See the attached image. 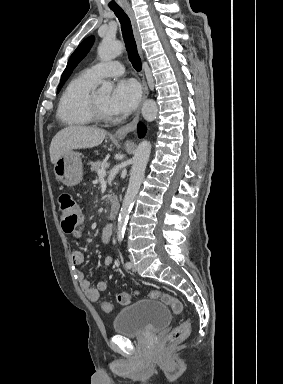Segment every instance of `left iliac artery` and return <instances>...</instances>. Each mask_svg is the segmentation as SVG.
<instances>
[{
    "instance_id": "obj_1",
    "label": "left iliac artery",
    "mask_w": 283,
    "mask_h": 384,
    "mask_svg": "<svg viewBox=\"0 0 283 384\" xmlns=\"http://www.w3.org/2000/svg\"><path fill=\"white\" fill-rule=\"evenodd\" d=\"M119 241H120V242L122 241V238H121V237H119ZM125 267H126L127 269L131 268V263H130V262H126V263H125Z\"/></svg>"
}]
</instances>
